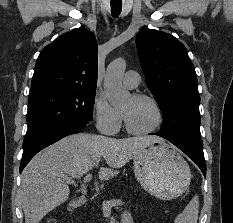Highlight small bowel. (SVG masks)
<instances>
[{
	"label": "small bowel",
	"instance_id": "obj_1",
	"mask_svg": "<svg viewBox=\"0 0 233 223\" xmlns=\"http://www.w3.org/2000/svg\"><path fill=\"white\" fill-rule=\"evenodd\" d=\"M121 223H134L133 216L129 211L123 212L121 216Z\"/></svg>",
	"mask_w": 233,
	"mask_h": 223
}]
</instances>
